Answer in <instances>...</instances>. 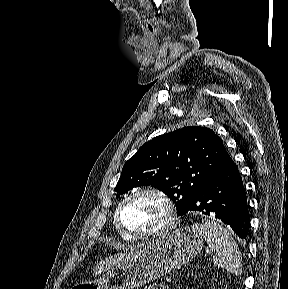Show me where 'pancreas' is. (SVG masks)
<instances>
[{
  "instance_id": "cf45deb5",
  "label": "pancreas",
  "mask_w": 288,
  "mask_h": 289,
  "mask_svg": "<svg viewBox=\"0 0 288 289\" xmlns=\"http://www.w3.org/2000/svg\"><path fill=\"white\" fill-rule=\"evenodd\" d=\"M144 289H158V288L155 287L154 285H149V286H146Z\"/></svg>"
}]
</instances>
